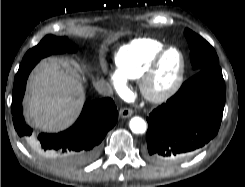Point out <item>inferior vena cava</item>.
<instances>
[{
  "label": "inferior vena cava",
  "instance_id": "obj_1",
  "mask_svg": "<svg viewBox=\"0 0 245 187\" xmlns=\"http://www.w3.org/2000/svg\"><path fill=\"white\" fill-rule=\"evenodd\" d=\"M97 92L103 96H110L112 94V87L105 80H99L94 84Z\"/></svg>",
  "mask_w": 245,
  "mask_h": 187
}]
</instances>
